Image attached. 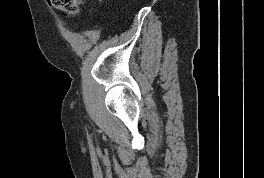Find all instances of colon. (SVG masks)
<instances>
[{"mask_svg": "<svg viewBox=\"0 0 264 178\" xmlns=\"http://www.w3.org/2000/svg\"><path fill=\"white\" fill-rule=\"evenodd\" d=\"M84 2L85 0H48L52 7L67 15L77 14Z\"/></svg>", "mask_w": 264, "mask_h": 178, "instance_id": "obj_1", "label": "colon"}]
</instances>
